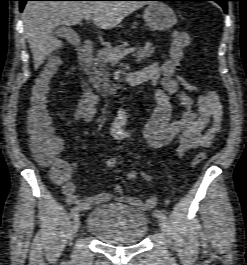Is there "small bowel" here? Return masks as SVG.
<instances>
[{"label": "small bowel", "mask_w": 247, "mask_h": 265, "mask_svg": "<svg viewBox=\"0 0 247 265\" xmlns=\"http://www.w3.org/2000/svg\"><path fill=\"white\" fill-rule=\"evenodd\" d=\"M174 73L175 68L169 60L162 64L153 63L135 72L143 83L150 81L155 88L156 107L145 124L144 138L156 148L175 145L177 155L183 157L192 149L206 148L213 143L217 127L222 121L223 107L215 91L206 90L195 93L194 96L189 95L180 88ZM171 96L177 97L184 109L177 120H171ZM98 102L96 94L83 93L77 101L74 119L84 123L90 122L96 113ZM210 120H212L211 124ZM111 135L117 140H123L128 137V132L124 126L115 123L111 127ZM68 165V175L65 178L54 180L60 186L65 201L71 205L78 206L84 203L100 205L116 200L142 211L150 210L156 205V198L153 195L145 200L122 195L121 185H115L112 192L83 196L77 192L78 185L71 179L75 164ZM138 176L147 184L153 182L152 176L146 172L139 173L132 170L128 174L131 180Z\"/></svg>", "instance_id": "obj_1"}]
</instances>
